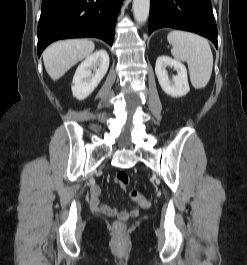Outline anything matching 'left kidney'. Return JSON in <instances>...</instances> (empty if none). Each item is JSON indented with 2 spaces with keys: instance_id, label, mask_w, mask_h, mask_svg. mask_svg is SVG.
Masks as SVG:
<instances>
[{
  "instance_id": "obj_1",
  "label": "left kidney",
  "mask_w": 247,
  "mask_h": 265,
  "mask_svg": "<svg viewBox=\"0 0 247 265\" xmlns=\"http://www.w3.org/2000/svg\"><path fill=\"white\" fill-rule=\"evenodd\" d=\"M173 67L177 71V75L169 80L167 67ZM155 73L162 90L171 97H182L189 91L186 67L177 60L168 56H160L156 60Z\"/></svg>"
}]
</instances>
